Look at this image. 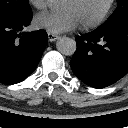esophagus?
<instances>
[{
    "mask_svg": "<svg viewBox=\"0 0 128 128\" xmlns=\"http://www.w3.org/2000/svg\"><path fill=\"white\" fill-rule=\"evenodd\" d=\"M47 35H48V40H49L50 42H54V41H56V40L59 38V36L54 35V34H52V33H48Z\"/></svg>",
    "mask_w": 128,
    "mask_h": 128,
    "instance_id": "34e87169",
    "label": "esophagus"
}]
</instances>
